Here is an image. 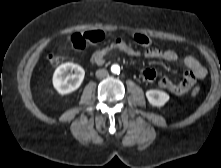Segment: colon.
Masks as SVG:
<instances>
[{
	"mask_svg": "<svg viewBox=\"0 0 221 168\" xmlns=\"http://www.w3.org/2000/svg\"><path fill=\"white\" fill-rule=\"evenodd\" d=\"M104 35L100 31H90V32H78L72 35L71 37V44L75 49H84L90 44H96L102 41ZM135 42L143 47H149L151 45V40L148 36L137 33L134 36ZM62 57L56 54H50L48 56V61L52 65H58L62 62ZM200 92L199 87H194L192 89V95L196 96Z\"/></svg>",
	"mask_w": 221,
	"mask_h": 168,
	"instance_id": "1",
	"label": "colon"
}]
</instances>
